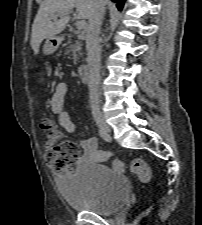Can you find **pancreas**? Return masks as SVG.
I'll use <instances>...</instances> for the list:
<instances>
[{"instance_id":"obj_1","label":"pancreas","mask_w":202,"mask_h":225,"mask_svg":"<svg viewBox=\"0 0 202 225\" xmlns=\"http://www.w3.org/2000/svg\"><path fill=\"white\" fill-rule=\"evenodd\" d=\"M82 49V44L79 40H76L75 43L73 45H71L69 47V49L67 50V53H72L73 56V62L76 64L78 59H79V55L80 51Z\"/></svg>"}]
</instances>
